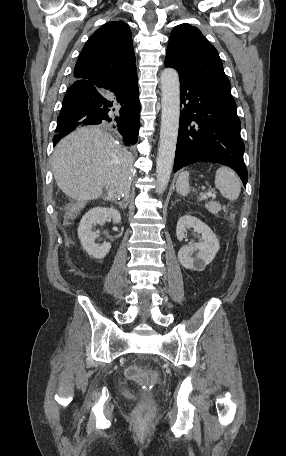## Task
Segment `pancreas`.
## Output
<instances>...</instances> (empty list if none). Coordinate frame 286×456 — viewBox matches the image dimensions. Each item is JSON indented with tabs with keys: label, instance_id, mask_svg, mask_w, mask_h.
<instances>
[{
	"label": "pancreas",
	"instance_id": "1",
	"mask_svg": "<svg viewBox=\"0 0 286 456\" xmlns=\"http://www.w3.org/2000/svg\"><path fill=\"white\" fill-rule=\"evenodd\" d=\"M206 209L214 215H218L219 211L221 210V205L217 202H209L205 205Z\"/></svg>",
	"mask_w": 286,
	"mask_h": 456
}]
</instances>
